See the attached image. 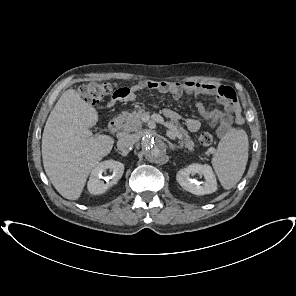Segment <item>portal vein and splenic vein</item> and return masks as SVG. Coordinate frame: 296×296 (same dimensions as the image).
I'll return each mask as SVG.
<instances>
[{
    "mask_svg": "<svg viewBox=\"0 0 296 296\" xmlns=\"http://www.w3.org/2000/svg\"><path fill=\"white\" fill-rule=\"evenodd\" d=\"M149 118H151L152 120L159 122L167 127V124L163 121L162 117L159 116L158 114H153L152 116H148L147 119H149ZM167 136L172 140H174L176 138L175 133L172 132L171 130L167 131Z\"/></svg>",
    "mask_w": 296,
    "mask_h": 296,
    "instance_id": "18ae733b",
    "label": "portal vein and splenic vein"
}]
</instances>
